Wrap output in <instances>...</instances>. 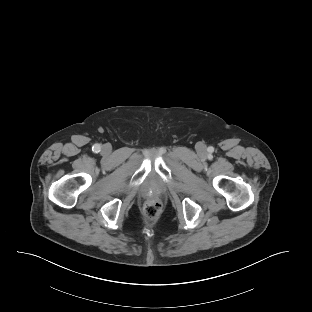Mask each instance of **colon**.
Masks as SVG:
<instances>
[{"mask_svg":"<svg viewBox=\"0 0 312 312\" xmlns=\"http://www.w3.org/2000/svg\"><path fill=\"white\" fill-rule=\"evenodd\" d=\"M159 211L160 204L155 201L147 203L144 207V214L150 219L155 218L158 215Z\"/></svg>","mask_w":312,"mask_h":312,"instance_id":"obj_1","label":"colon"}]
</instances>
